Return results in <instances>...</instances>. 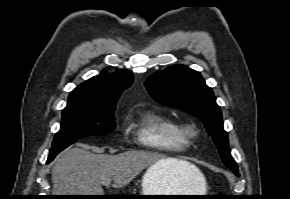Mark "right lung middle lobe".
I'll return each instance as SVG.
<instances>
[{"label": "right lung middle lobe", "instance_id": "obj_1", "mask_svg": "<svg viewBox=\"0 0 290 199\" xmlns=\"http://www.w3.org/2000/svg\"><path fill=\"white\" fill-rule=\"evenodd\" d=\"M114 110L115 108L64 109L61 128L54 137L49 157H55L80 138L111 133L115 129Z\"/></svg>", "mask_w": 290, "mask_h": 199}]
</instances>
